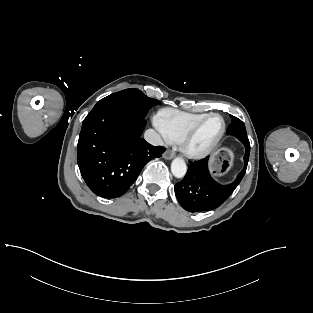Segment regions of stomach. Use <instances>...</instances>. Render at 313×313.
<instances>
[{
    "label": "stomach",
    "instance_id": "obj_1",
    "mask_svg": "<svg viewBox=\"0 0 313 313\" xmlns=\"http://www.w3.org/2000/svg\"><path fill=\"white\" fill-rule=\"evenodd\" d=\"M233 152L229 148H221L214 152L210 160L211 171L220 176L232 166Z\"/></svg>",
    "mask_w": 313,
    "mask_h": 313
}]
</instances>
